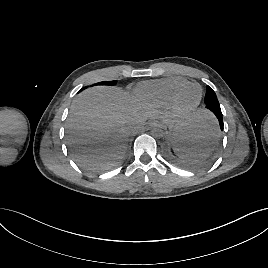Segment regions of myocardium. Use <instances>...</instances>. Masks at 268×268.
I'll use <instances>...</instances> for the list:
<instances>
[{"label":"myocardium","mask_w":268,"mask_h":268,"mask_svg":"<svg viewBox=\"0 0 268 268\" xmlns=\"http://www.w3.org/2000/svg\"><path fill=\"white\" fill-rule=\"evenodd\" d=\"M192 87L198 88L199 97H198L197 101L193 105L188 106V107H184V106L181 105L180 99H181L182 95L188 89H190ZM201 99H202V89H201V87L199 85H197V84L190 83V84H187V85L181 87L180 89H178L174 93V95H173V97H172L170 102H171L172 108L174 109L175 112H177L180 115H185V114H188V113L194 111L198 107V105L200 104Z\"/></svg>","instance_id":"f54148a6"}]
</instances>
